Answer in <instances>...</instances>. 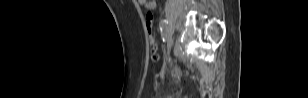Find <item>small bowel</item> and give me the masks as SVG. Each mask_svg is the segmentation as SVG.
I'll use <instances>...</instances> for the list:
<instances>
[{
    "mask_svg": "<svg viewBox=\"0 0 308 98\" xmlns=\"http://www.w3.org/2000/svg\"><path fill=\"white\" fill-rule=\"evenodd\" d=\"M138 3L148 9V10H153L155 7H156V1L155 0H151V1H148V0H139Z\"/></svg>",
    "mask_w": 308,
    "mask_h": 98,
    "instance_id": "c3829d8e",
    "label": "small bowel"
}]
</instances>
